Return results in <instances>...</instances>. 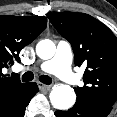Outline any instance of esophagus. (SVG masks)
I'll list each match as a JSON object with an SVG mask.
<instances>
[{
  "label": "esophagus",
  "mask_w": 117,
  "mask_h": 117,
  "mask_svg": "<svg viewBox=\"0 0 117 117\" xmlns=\"http://www.w3.org/2000/svg\"><path fill=\"white\" fill-rule=\"evenodd\" d=\"M38 87L41 91H48L50 89V86L45 85L43 83H38Z\"/></svg>",
  "instance_id": "obj_1"
}]
</instances>
